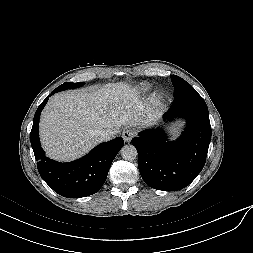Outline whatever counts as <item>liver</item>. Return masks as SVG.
I'll return each mask as SVG.
<instances>
[{
	"mask_svg": "<svg viewBox=\"0 0 253 253\" xmlns=\"http://www.w3.org/2000/svg\"><path fill=\"white\" fill-rule=\"evenodd\" d=\"M160 112L144 106L135 89L123 82L98 90H74L54 95L40 118L41 143L56 160H75L101 141L96 130L152 125Z\"/></svg>",
	"mask_w": 253,
	"mask_h": 253,
	"instance_id": "obj_1",
	"label": "liver"
}]
</instances>
